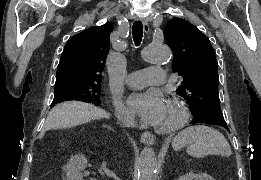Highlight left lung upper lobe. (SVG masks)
I'll use <instances>...</instances> for the list:
<instances>
[{"label": "left lung upper lobe", "instance_id": "1", "mask_svg": "<svg viewBox=\"0 0 261 180\" xmlns=\"http://www.w3.org/2000/svg\"><path fill=\"white\" fill-rule=\"evenodd\" d=\"M166 43L173 51V72L183 77L177 94L186 100L193 120L225 122L220 109L218 63L209 39L181 18L164 28Z\"/></svg>", "mask_w": 261, "mask_h": 180}]
</instances>
